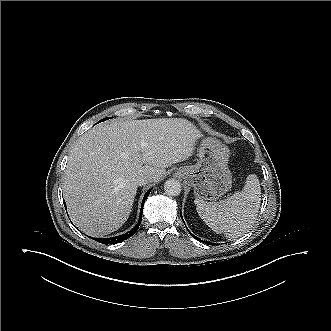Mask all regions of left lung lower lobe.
Wrapping results in <instances>:
<instances>
[{"mask_svg":"<svg viewBox=\"0 0 331 331\" xmlns=\"http://www.w3.org/2000/svg\"><path fill=\"white\" fill-rule=\"evenodd\" d=\"M180 215H181V218H182V214H181V212H180ZM182 221L184 222L183 218H182ZM184 224H185V223H184ZM187 230H188V229H187ZM188 232H189V230H188ZM189 233L191 234V236H192L193 238L197 239V240L200 241V242H203V240H201L200 238H197V237L194 236L191 232H189ZM204 243L209 244V245H214V244H212V243H210V242H206V241H204Z\"/></svg>","mask_w":331,"mask_h":331,"instance_id":"1","label":"left lung lower lobe"}]
</instances>
